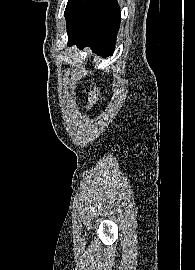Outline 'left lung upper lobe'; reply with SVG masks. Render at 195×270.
Returning a JSON list of instances; mask_svg holds the SVG:
<instances>
[{
    "label": "left lung upper lobe",
    "instance_id": "obj_1",
    "mask_svg": "<svg viewBox=\"0 0 195 270\" xmlns=\"http://www.w3.org/2000/svg\"><path fill=\"white\" fill-rule=\"evenodd\" d=\"M83 2L84 0H68L64 13L67 26L72 22Z\"/></svg>",
    "mask_w": 195,
    "mask_h": 270
}]
</instances>
